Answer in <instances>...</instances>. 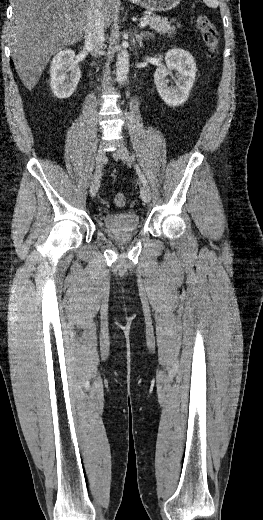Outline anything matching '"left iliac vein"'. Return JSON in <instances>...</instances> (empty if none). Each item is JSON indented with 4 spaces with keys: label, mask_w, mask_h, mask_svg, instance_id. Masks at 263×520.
I'll return each mask as SVG.
<instances>
[{
    "label": "left iliac vein",
    "mask_w": 263,
    "mask_h": 520,
    "mask_svg": "<svg viewBox=\"0 0 263 520\" xmlns=\"http://www.w3.org/2000/svg\"><path fill=\"white\" fill-rule=\"evenodd\" d=\"M114 154L123 161L129 160V151L125 146H120L117 150H115ZM140 197L144 203H149L151 200V194L147 187L142 186L140 188Z\"/></svg>",
    "instance_id": "left-iliac-vein-1"
}]
</instances>
